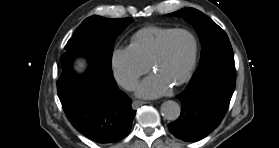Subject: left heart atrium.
Listing matches in <instances>:
<instances>
[{
  "mask_svg": "<svg viewBox=\"0 0 279 148\" xmlns=\"http://www.w3.org/2000/svg\"><path fill=\"white\" fill-rule=\"evenodd\" d=\"M171 90V83L157 74H151L137 87V93L144 98H156L166 95Z\"/></svg>",
  "mask_w": 279,
  "mask_h": 148,
  "instance_id": "1",
  "label": "left heart atrium"
}]
</instances>
